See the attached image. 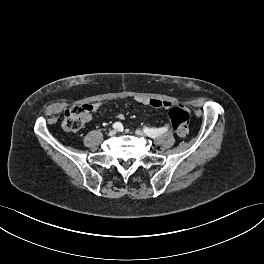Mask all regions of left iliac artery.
Segmentation results:
<instances>
[{"instance_id": "1", "label": "left iliac artery", "mask_w": 264, "mask_h": 264, "mask_svg": "<svg viewBox=\"0 0 264 264\" xmlns=\"http://www.w3.org/2000/svg\"><path fill=\"white\" fill-rule=\"evenodd\" d=\"M168 130L166 127L162 128H144V132L150 131L151 133H156L158 136L165 133Z\"/></svg>"}]
</instances>
